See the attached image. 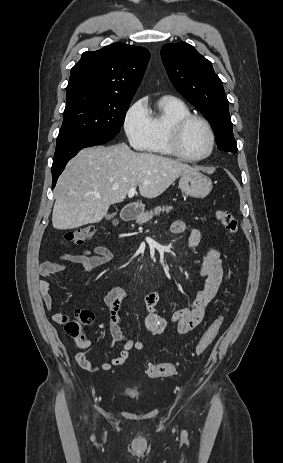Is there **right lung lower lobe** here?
Segmentation results:
<instances>
[{"label":"right lung lower lobe","mask_w":283,"mask_h":463,"mask_svg":"<svg viewBox=\"0 0 283 463\" xmlns=\"http://www.w3.org/2000/svg\"><path fill=\"white\" fill-rule=\"evenodd\" d=\"M114 137L115 136H86L58 143L56 145L54 160L52 164V188L55 187L57 179L64 170L67 162L73 158L81 149L104 144Z\"/></svg>","instance_id":"obj_1"}]
</instances>
